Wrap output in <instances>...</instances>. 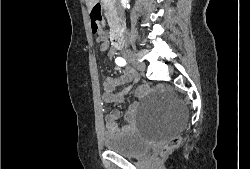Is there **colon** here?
<instances>
[{
    "mask_svg": "<svg viewBox=\"0 0 250 169\" xmlns=\"http://www.w3.org/2000/svg\"><path fill=\"white\" fill-rule=\"evenodd\" d=\"M91 30L93 33H101L103 30V17L100 7H94L90 11ZM182 138H167V141H163L161 150L163 154L167 155L171 150H178V146H181Z\"/></svg>",
    "mask_w": 250,
    "mask_h": 169,
    "instance_id": "colon-1",
    "label": "colon"
}]
</instances>
